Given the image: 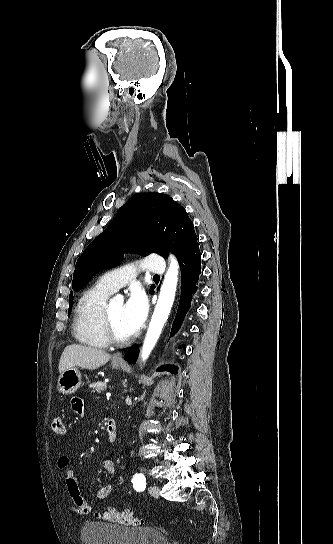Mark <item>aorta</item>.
<instances>
[{
    "mask_svg": "<svg viewBox=\"0 0 333 544\" xmlns=\"http://www.w3.org/2000/svg\"><path fill=\"white\" fill-rule=\"evenodd\" d=\"M178 269V263L176 259L172 257L143 343L141 351L143 361L149 357L151 351L155 347L163 326L168 319L175 298L178 282ZM116 299H121V296H117Z\"/></svg>",
    "mask_w": 333,
    "mask_h": 544,
    "instance_id": "obj_1",
    "label": "aorta"
}]
</instances>
